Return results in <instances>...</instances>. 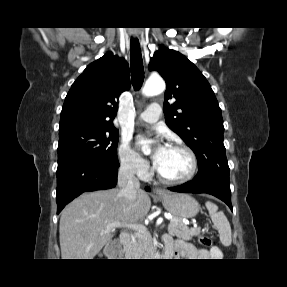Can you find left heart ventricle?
<instances>
[{
  "label": "left heart ventricle",
  "instance_id": "left-heart-ventricle-1",
  "mask_svg": "<svg viewBox=\"0 0 287 287\" xmlns=\"http://www.w3.org/2000/svg\"><path fill=\"white\" fill-rule=\"evenodd\" d=\"M156 166L165 177L176 179L189 172L191 161L185 151L167 147Z\"/></svg>",
  "mask_w": 287,
  "mask_h": 287
}]
</instances>
